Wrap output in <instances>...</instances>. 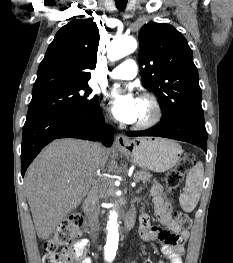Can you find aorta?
Masks as SVG:
<instances>
[{"instance_id":"1","label":"aorta","mask_w":233,"mask_h":263,"mask_svg":"<svg viewBox=\"0 0 233 263\" xmlns=\"http://www.w3.org/2000/svg\"><path fill=\"white\" fill-rule=\"evenodd\" d=\"M137 48V42L133 37H116L112 40L108 47V58L115 61L134 52ZM118 214L112 210L107 223V241L105 245V256L112 259L118 248L119 232H118Z\"/></svg>"}]
</instances>
